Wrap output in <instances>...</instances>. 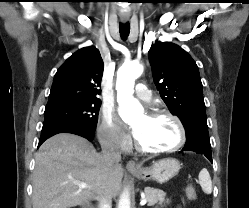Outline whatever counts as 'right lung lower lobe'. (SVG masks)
<instances>
[{"label":"right lung lower lobe","instance_id":"right-lung-lower-lobe-1","mask_svg":"<svg viewBox=\"0 0 249 208\" xmlns=\"http://www.w3.org/2000/svg\"><path fill=\"white\" fill-rule=\"evenodd\" d=\"M94 132L95 130L92 131L71 123L54 121V120L44 121L38 147L46 139L58 133H72L82 136L91 141L94 137Z\"/></svg>","mask_w":249,"mask_h":208}]
</instances>
